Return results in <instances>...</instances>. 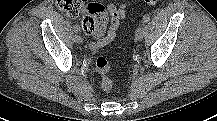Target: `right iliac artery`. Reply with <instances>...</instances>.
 Here are the masks:
<instances>
[{"label":"right iliac artery","mask_w":217,"mask_h":121,"mask_svg":"<svg viewBox=\"0 0 217 121\" xmlns=\"http://www.w3.org/2000/svg\"><path fill=\"white\" fill-rule=\"evenodd\" d=\"M73 30L75 33H78L80 31V27L78 25H74Z\"/></svg>","instance_id":"right-iliac-artery-1"}]
</instances>
